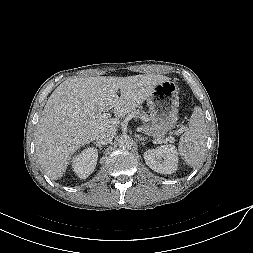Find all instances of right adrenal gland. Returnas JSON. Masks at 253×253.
<instances>
[{
    "instance_id": "obj_1",
    "label": "right adrenal gland",
    "mask_w": 253,
    "mask_h": 253,
    "mask_svg": "<svg viewBox=\"0 0 253 253\" xmlns=\"http://www.w3.org/2000/svg\"><path fill=\"white\" fill-rule=\"evenodd\" d=\"M94 144L96 145V147H98V148H100V149L103 147L101 144H98V143H96V142H94Z\"/></svg>"
}]
</instances>
